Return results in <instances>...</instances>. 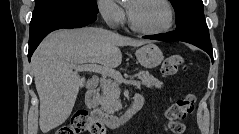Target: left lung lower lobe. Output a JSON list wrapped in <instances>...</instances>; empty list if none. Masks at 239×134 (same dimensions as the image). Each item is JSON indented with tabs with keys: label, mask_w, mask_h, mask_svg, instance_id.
Listing matches in <instances>:
<instances>
[{
	"label": "left lung lower lobe",
	"mask_w": 239,
	"mask_h": 134,
	"mask_svg": "<svg viewBox=\"0 0 239 134\" xmlns=\"http://www.w3.org/2000/svg\"><path fill=\"white\" fill-rule=\"evenodd\" d=\"M144 38L162 41H183L193 44L206 51L213 62V51L207 26H189L164 34L145 36Z\"/></svg>",
	"instance_id": "1"
}]
</instances>
